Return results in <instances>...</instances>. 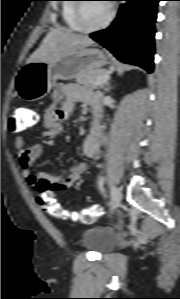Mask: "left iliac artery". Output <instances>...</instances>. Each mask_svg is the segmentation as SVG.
Returning <instances> with one entry per match:
<instances>
[{"label":"left iliac artery","instance_id":"obj_1","mask_svg":"<svg viewBox=\"0 0 180 299\" xmlns=\"http://www.w3.org/2000/svg\"><path fill=\"white\" fill-rule=\"evenodd\" d=\"M104 181H105V177L104 176H101L99 178V180H98V185H99V188L101 189V191H103Z\"/></svg>","mask_w":180,"mask_h":299}]
</instances>
